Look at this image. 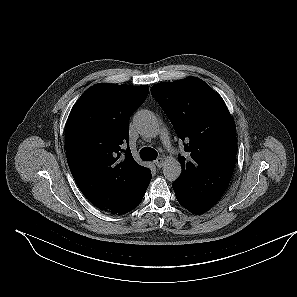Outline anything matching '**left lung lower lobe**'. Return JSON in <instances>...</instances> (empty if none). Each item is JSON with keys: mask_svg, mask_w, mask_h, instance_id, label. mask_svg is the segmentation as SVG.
I'll use <instances>...</instances> for the list:
<instances>
[{"mask_svg": "<svg viewBox=\"0 0 297 297\" xmlns=\"http://www.w3.org/2000/svg\"><path fill=\"white\" fill-rule=\"evenodd\" d=\"M182 181H175L172 184V187L175 191L176 198L178 202L181 201V193H182ZM215 204H209V205H204V206H198V207H187L186 209L192 212L193 214H203L204 212L208 211L209 209L212 208Z\"/></svg>", "mask_w": 297, "mask_h": 297, "instance_id": "1", "label": "left lung lower lobe"}]
</instances>
